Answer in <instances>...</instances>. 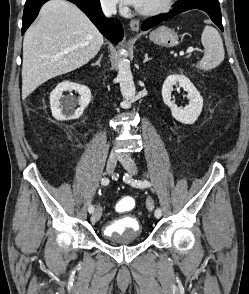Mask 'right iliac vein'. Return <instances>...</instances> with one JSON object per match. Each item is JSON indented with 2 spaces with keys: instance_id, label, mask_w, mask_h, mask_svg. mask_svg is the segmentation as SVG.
I'll use <instances>...</instances> for the list:
<instances>
[{
  "instance_id": "63e3f726",
  "label": "right iliac vein",
  "mask_w": 249,
  "mask_h": 294,
  "mask_svg": "<svg viewBox=\"0 0 249 294\" xmlns=\"http://www.w3.org/2000/svg\"><path fill=\"white\" fill-rule=\"evenodd\" d=\"M117 159H118V156L115 152L110 153L107 160V165H106V170L109 175H111L114 172L116 168V164H117ZM101 216H102V208L101 206H98L91 216L92 223L98 222Z\"/></svg>"
}]
</instances>
